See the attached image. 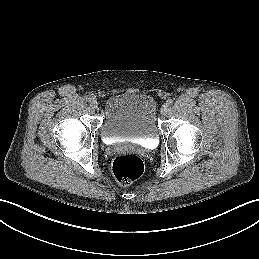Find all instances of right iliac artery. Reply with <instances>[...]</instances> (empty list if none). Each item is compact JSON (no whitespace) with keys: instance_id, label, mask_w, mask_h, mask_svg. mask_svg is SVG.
I'll use <instances>...</instances> for the list:
<instances>
[{"instance_id":"82829eb1","label":"right iliac artery","mask_w":259,"mask_h":259,"mask_svg":"<svg viewBox=\"0 0 259 259\" xmlns=\"http://www.w3.org/2000/svg\"><path fill=\"white\" fill-rule=\"evenodd\" d=\"M84 99H85L86 102H90L91 101V98L89 96H86Z\"/></svg>"}]
</instances>
